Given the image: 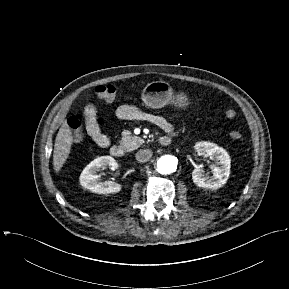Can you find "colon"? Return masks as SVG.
<instances>
[{
  "label": "colon",
  "instance_id": "1",
  "mask_svg": "<svg viewBox=\"0 0 289 289\" xmlns=\"http://www.w3.org/2000/svg\"><path fill=\"white\" fill-rule=\"evenodd\" d=\"M117 85L114 83H109V84H104L100 85L96 88V93L98 97L102 100L105 101H111L115 98L116 93H117ZM225 115L229 119H233L236 117V111L234 109H227L225 111ZM68 125L73 131V138L75 142H80L83 138V124H84V119L83 117L76 115V116H71L68 118ZM100 123V121H98ZM230 136L234 140H240L242 138V134L239 131H232L230 133Z\"/></svg>",
  "mask_w": 289,
  "mask_h": 289
}]
</instances>
